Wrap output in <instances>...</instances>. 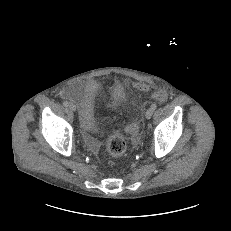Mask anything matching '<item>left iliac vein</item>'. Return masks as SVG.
Masks as SVG:
<instances>
[{
  "label": "left iliac vein",
  "instance_id": "obj_1",
  "mask_svg": "<svg viewBox=\"0 0 231 231\" xmlns=\"http://www.w3.org/2000/svg\"><path fill=\"white\" fill-rule=\"evenodd\" d=\"M153 110L151 108L147 109L145 112L146 119H150L152 117Z\"/></svg>",
  "mask_w": 231,
  "mask_h": 231
}]
</instances>
